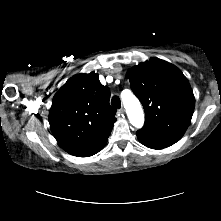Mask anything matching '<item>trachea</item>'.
<instances>
[{
	"label": "trachea",
	"mask_w": 221,
	"mask_h": 221,
	"mask_svg": "<svg viewBox=\"0 0 221 221\" xmlns=\"http://www.w3.org/2000/svg\"><path fill=\"white\" fill-rule=\"evenodd\" d=\"M111 104L118 109L121 107L120 99L117 96L112 98Z\"/></svg>",
	"instance_id": "1"
}]
</instances>
